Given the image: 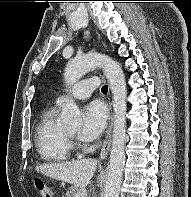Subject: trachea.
<instances>
[{
  "instance_id": "3493384b",
  "label": "trachea",
  "mask_w": 191,
  "mask_h": 197,
  "mask_svg": "<svg viewBox=\"0 0 191 197\" xmlns=\"http://www.w3.org/2000/svg\"><path fill=\"white\" fill-rule=\"evenodd\" d=\"M101 91H102L103 93H106V92L108 91V86H107V85L103 86V87L101 88Z\"/></svg>"
}]
</instances>
